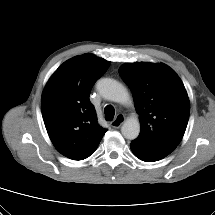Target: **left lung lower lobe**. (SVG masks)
Wrapping results in <instances>:
<instances>
[{
  "mask_svg": "<svg viewBox=\"0 0 215 215\" xmlns=\"http://www.w3.org/2000/svg\"><path fill=\"white\" fill-rule=\"evenodd\" d=\"M130 147H131L133 154L137 158H139L140 160L145 161V162H154V161L163 159L165 157V156L156 154L154 152H151V151H149L139 145L133 144V143L130 144Z\"/></svg>",
  "mask_w": 215,
  "mask_h": 215,
  "instance_id": "0a47b994",
  "label": "left lung lower lobe"
}]
</instances>
